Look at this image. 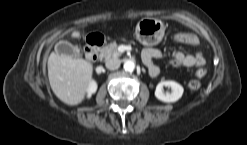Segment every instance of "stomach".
Listing matches in <instances>:
<instances>
[{"label":"stomach","mask_w":247,"mask_h":145,"mask_svg":"<svg viewBox=\"0 0 247 145\" xmlns=\"http://www.w3.org/2000/svg\"><path fill=\"white\" fill-rule=\"evenodd\" d=\"M165 25L155 18L141 19L135 29L136 38L143 45L154 46L164 37Z\"/></svg>","instance_id":"obj_1"}]
</instances>
